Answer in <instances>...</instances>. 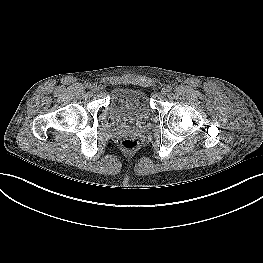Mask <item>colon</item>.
Listing matches in <instances>:
<instances>
[{
    "instance_id": "colon-1",
    "label": "colon",
    "mask_w": 263,
    "mask_h": 263,
    "mask_svg": "<svg viewBox=\"0 0 263 263\" xmlns=\"http://www.w3.org/2000/svg\"><path fill=\"white\" fill-rule=\"evenodd\" d=\"M122 147L125 150L132 151L137 147V142L133 139H125L122 142Z\"/></svg>"
}]
</instances>
